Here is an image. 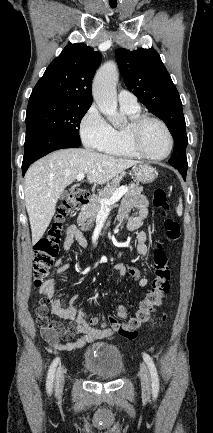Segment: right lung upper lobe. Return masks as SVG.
Returning a JSON list of instances; mask_svg holds the SVG:
<instances>
[{
	"mask_svg": "<svg viewBox=\"0 0 213 433\" xmlns=\"http://www.w3.org/2000/svg\"><path fill=\"white\" fill-rule=\"evenodd\" d=\"M101 54L83 43L67 45L47 67L30 99L51 98L92 104L91 85Z\"/></svg>",
	"mask_w": 213,
	"mask_h": 433,
	"instance_id": "1",
	"label": "right lung upper lobe"
}]
</instances>
